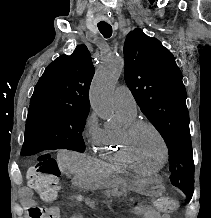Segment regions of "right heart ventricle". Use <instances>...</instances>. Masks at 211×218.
I'll return each instance as SVG.
<instances>
[{"mask_svg":"<svg viewBox=\"0 0 211 218\" xmlns=\"http://www.w3.org/2000/svg\"><path fill=\"white\" fill-rule=\"evenodd\" d=\"M117 109L121 126L117 129H104L95 144L97 149H93V154H99L106 158L107 162H112L113 165H124V169H135V164H130L131 160L124 148L123 130L127 124L136 119V113Z\"/></svg>","mask_w":211,"mask_h":218,"instance_id":"1","label":"right heart ventricle"}]
</instances>
